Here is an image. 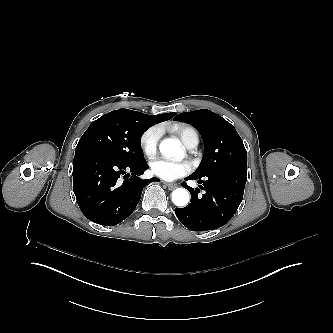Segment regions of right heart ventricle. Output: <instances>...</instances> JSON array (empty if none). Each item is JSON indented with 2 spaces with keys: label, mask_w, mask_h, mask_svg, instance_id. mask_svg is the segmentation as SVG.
I'll return each mask as SVG.
<instances>
[{
  "label": "right heart ventricle",
  "mask_w": 333,
  "mask_h": 333,
  "mask_svg": "<svg viewBox=\"0 0 333 333\" xmlns=\"http://www.w3.org/2000/svg\"><path fill=\"white\" fill-rule=\"evenodd\" d=\"M161 132V130H160ZM177 136L180 137V139L183 141V143L188 146V143L190 142V139L192 137H197L198 138V134L197 132L192 128V127H184V128H180L177 132H176Z\"/></svg>",
  "instance_id": "1"
}]
</instances>
